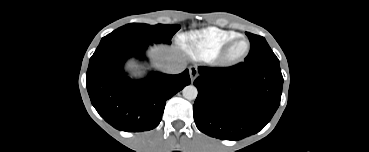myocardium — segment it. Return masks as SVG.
Returning a JSON list of instances; mask_svg holds the SVG:
<instances>
[{"label":"myocardium","mask_w":369,"mask_h":152,"mask_svg":"<svg viewBox=\"0 0 369 152\" xmlns=\"http://www.w3.org/2000/svg\"><path fill=\"white\" fill-rule=\"evenodd\" d=\"M240 41H244L246 43V48L242 53L234 54L233 53V48ZM250 49H251V43H250L249 39L245 36L238 35L235 38L231 39L223 47V49L220 52V59L224 63H235V62H238V61H241L242 59H244L249 54Z\"/></svg>","instance_id":"f54148a6"}]
</instances>
